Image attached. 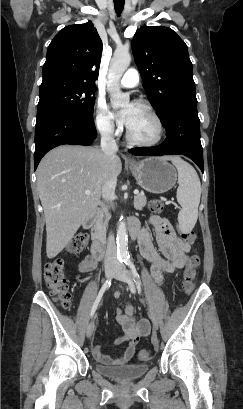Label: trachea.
I'll return each mask as SVG.
<instances>
[{
	"mask_svg": "<svg viewBox=\"0 0 243 409\" xmlns=\"http://www.w3.org/2000/svg\"><path fill=\"white\" fill-rule=\"evenodd\" d=\"M114 7H115L116 13L120 15L124 8V1H121V2L114 1Z\"/></svg>",
	"mask_w": 243,
	"mask_h": 409,
	"instance_id": "trachea-1",
	"label": "trachea"
}]
</instances>
